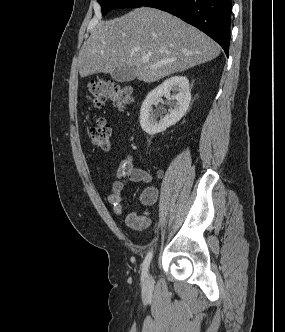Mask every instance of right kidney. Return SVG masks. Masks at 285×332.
Listing matches in <instances>:
<instances>
[{"mask_svg": "<svg viewBox=\"0 0 285 332\" xmlns=\"http://www.w3.org/2000/svg\"><path fill=\"white\" fill-rule=\"evenodd\" d=\"M171 91L173 92L171 95ZM162 96H171L176 103L170 108V113L159 121L158 114L152 111V106ZM191 101L189 80L185 76H174L165 80L158 87L148 93L141 106L140 125L149 135H155L175 125L187 112Z\"/></svg>", "mask_w": 285, "mask_h": 332, "instance_id": "ca27d5eb", "label": "right kidney"}]
</instances>
